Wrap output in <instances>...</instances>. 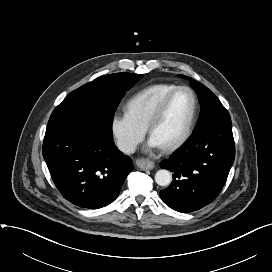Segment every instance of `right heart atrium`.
I'll use <instances>...</instances> for the list:
<instances>
[{
	"instance_id": "d8ad5b80",
	"label": "right heart atrium",
	"mask_w": 272,
	"mask_h": 272,
	"mask_svg": "<svg viewBox=\"0 0 272 272\" xmlns=\"http://www.w3.org/2000/svg\"><path fill=\"white\" fill-rule=\"evenodd\" d=\"M110 128L118 148L127 154L136 150L146 133V129L137 124L126 112L115 113L111 118Z\"/></svg>"
}]
</instances>
